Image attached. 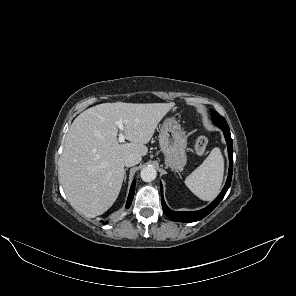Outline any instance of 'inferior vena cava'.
Instances as JSON below:
<instances>
[{
    "label": "inferior vena cava",
    "instance_id": "1",
    "mask_svg": "<svg viewBox=\"0 0 296 296\" xmlns=\"http://www.w3.org/2000/svg\"><path fill=\"white\" fill-rule=\"evenodd\" d=\"M141 161V156L138 154H130L124 159V165L129 167V166H134L138 164Z\"/></svg>",
    "mask_w": 296,
    "mask_h": 296
}]
</instances>
